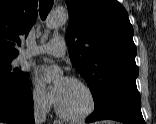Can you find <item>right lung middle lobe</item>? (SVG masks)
Masks as SVG:
<instances>
[{
	"instance_id": "1",
	"label": "right lung middle lobe",
	"mask_w": 156,
	"mask_h": 124,
	"mask_svg": "<svg viewBox=\"0 0 156 124\" xmlns=\"http://www.w3.org/2000/svg\"><path fill=\"white\" fill-rule=\"evenodd\" d=\"M12 60H0V78L19 84L29 81L28 73L20 71L18 68L12 70Z\"/></svg>"
}]
</instances>
